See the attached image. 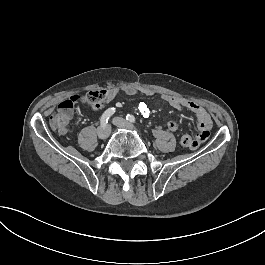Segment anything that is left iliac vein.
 I'll list each match as a JSON object with an SVG mask.
<instances>
[{
  "label": "left iliac vein",
  "mask_w": 265,
  "mask_h": 265,
  "mask_svg": "<svg viewBox=\"0 0 265 265\" xmlns=\"http://www.w3.org/2000/svg\"><path fill=\"white\" fill-rule=\"evenodd\" d=\"M113 123L117 125L118 127L127 128V129H134V126L131 125L127 120L121 118V117H114Z\"/></svg>",
  "instance_id": "1"
}]
</instances>
